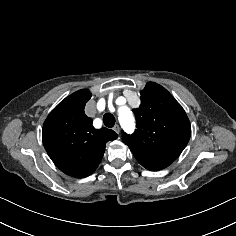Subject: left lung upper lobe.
<instances>
[{
  "mask_svg": "<svg viewBox=\"0 0 236 236\" xmlns=\"http://www.w3.org/2000/svg\"><path fill=\"white\" fill-rule=\"evenodd\" d=\"M133 111L137 129L132 135L123 133L122 141L146 169L166 168L178 158L191 136L184 109L164 87L149 82L141 91V105Z\"/></svg>",
  "mask_w": 236,
  "mask_h": 236,
  "instance_id": "left-lung-upper-lobe-1",
  "label": "left lung upper lobe"
}]
</instances>
